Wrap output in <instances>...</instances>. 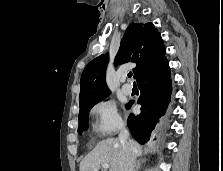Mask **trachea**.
Segmentation results:
<instances>
[{
    "instance_id": "trachea-1",
    "label": "trachea",
    "mask_w": 223,
    "mask_h": 171,
    "mask_svg": "<svg viewBox=\"0 0 223 171\" xmlns=\"http://www.w3.org/2000/svg\"><path fill=\"white\" fill-rule=\"evenodd\" d=\"M132 75H133L132 72H129V73H128V77H129V78H131Z\"/></svg>"
}]
</instances>
